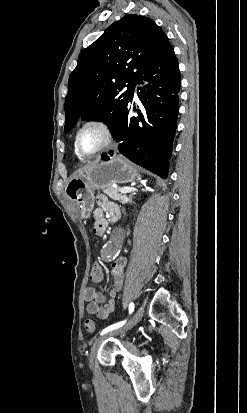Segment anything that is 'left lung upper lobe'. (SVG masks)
I'll list each match as a JSON object with an SVG mask.
<instances>
[{
    "instance_id": "1",
    "label": "left lung upper lobe",
    "mask_w": 247,
    "mask_h": 413,
    "mask_svg": "<svg viewBox=\"0 0 247 413\" xmlns=\"http://www.w3.org/2000/svg\"><path fill=\"white\" fill-rule=\"evenodd\" d=\"M170 47L166 34L148 17L130 14L110 25L81 52L70 74L65 132L82 118L103 121L114 134L137 80Z\"/></svg>"
}]
</instances>
